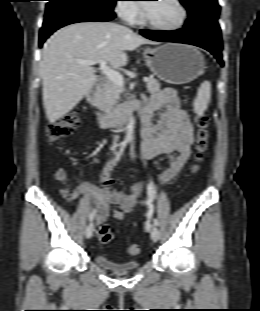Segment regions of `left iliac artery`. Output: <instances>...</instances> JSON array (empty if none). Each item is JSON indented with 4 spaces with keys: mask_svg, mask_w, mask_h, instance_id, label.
I'll list each match as a JSON object with an SVG mask.
<instances>
[{
    "mask_svg": "<svg viewBox=\"0 0 260 311\" xmlns=\"http://www.w3.org/2000/svg\"><path fill=\"white\" fill-rule=\"evenodd\" d=\"M150 185H151V184H150ZM150 188H151V186H150ZM147 204L149 205V208H150L151 210H153V204H152V199H151V198L147 201ZM153 222H154V225H156V226L159 225L158 219L155 218V219L153 220Z\"/></svg>",
    "mask_w": 260,
    "mask_h": 311,
    "instance_id": "1",
    "label": "left iliac artery"
}]
</instances>
